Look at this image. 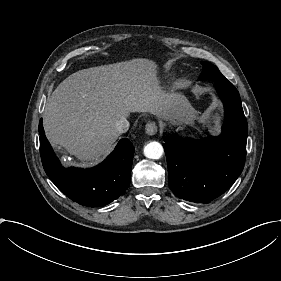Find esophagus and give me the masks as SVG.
I'll use <instances>...</instances> for the list:
<instances>
[{"label":"esophagus","instance_id":"esophagus-1","mask_svg":"<svg viewBox=\"0 0 281 281\" xmlns=\"http://www.w3.org/2000/svg\"><path fill=\"white\" fill-rule=\"evenodd\" d=\"M145 131L148 135H154L157 132V125L155 122H149L145 126Z\"/></svg>","mask_w":281,"mask_h":281}]
</instances>
